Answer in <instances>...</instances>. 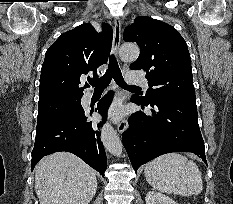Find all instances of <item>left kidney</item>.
<instances>
[{"mask_svg":"<svg viewBox=\"0 0 233 204\" xmlns=\"http://www.w3.org/2000/svg\"><path fill=\"white\" fill-rule=\"evenodd\" d=\"M145 201L146 204H178L170 197L156 191H149L145 197Z\"/></svg>","mask_w":233,"mask_h":204,"instance_id":"1","label":"left kidney"}]
</instances>
